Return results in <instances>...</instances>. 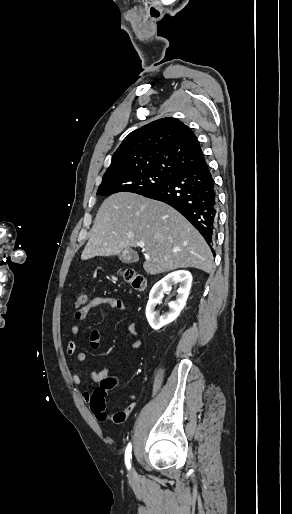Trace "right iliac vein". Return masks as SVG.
I'll list each match as a JSON object with an SVG mask.
<instances>
[{
	"mask_svg": "<svg viewBox=\"0 0 292 514\" xmlns=\"http://www.w3.org/2000/svg\"><path fill=\"white\" fill-rule=\"evenodd\" d=\"M133 475H134V471L132 470V471L130 472V476L132 477Z\"/></svg>",
	"mask_w": 292,
	"mask_h": 514,
	"instance_id": "obj_1",
	"label": "right iliac vein"
}]
</instances>
